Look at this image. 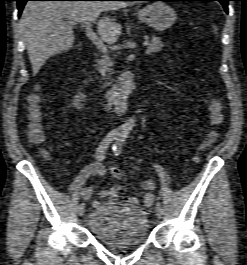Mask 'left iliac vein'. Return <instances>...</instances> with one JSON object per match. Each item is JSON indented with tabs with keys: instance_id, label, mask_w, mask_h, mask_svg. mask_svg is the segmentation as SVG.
Masks as SVG:
<instances>
[{
	"instance_id": "left-iliac-vein-1",
	"label": "left iliac vein",
	"mask_w": 247,
	"mask_h": 265,
	"mask_svg": "<svg viewBox=\"0 0 247 265\" xmlns=\"http://www.w3.org/2000/svg\"><path fill=\"white\" fill-rule=\"evenodd\" d=\"M155 211H156V215L158 218H161L162 214H163V211H162V207L161 205L158 203L156 208H155Z\"/></svg>"
}]
</instances>
